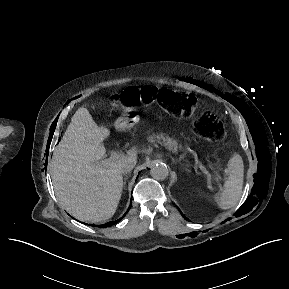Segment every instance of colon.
Listing matches in <instances>:
<instances>
[{
  "label": "colon",
  "mask_w": 289,
  "mask_h": 289,
  "mask_svg": "<svg viewBox=\"0 0 289 289\" xmlns=\"http://www.w3.org/2000/svg\"><path fill=\"white\" fill-rule=\"evenodd\" d=\"M156 98L176 115L191 120L197 135L213 141L225 137L220 120L213 114L202 111L197 98L189 93H177L168 88L158 90L150 86L129 87L120 94L114 95L112 100L121 104L133 105L147 104Z\"/></svg>",
  "instance_id": "1"
}]
</instances>
